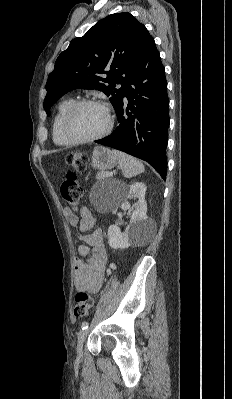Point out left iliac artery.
<instances>
[{
    "instance_id": "1",
    "label": "left iliac artery",
    "mask_w": 232,
    "mask_h": 399,
    "mask_svg": "<svg viewBox=\"0 0 232 399\" xmlns=\"http://www.w3.org/2000/svg\"><path fill=\"white\" fill-rule=\"evenodd\" d=\"M89 326V323L87 321H84L81 325L82 330H86Z\"/></svg>"
}]
</instances>
